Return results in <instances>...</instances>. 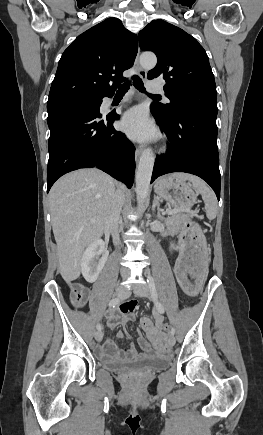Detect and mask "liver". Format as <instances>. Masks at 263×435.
<instances>
[{"label": "liver", "mask_w": 263, "mask_h": 435, "mask_svg": "<svg viewBox=\"0 0 263 435\" xmlns=\"http://www.w3.org/2000/svg\"><path fill=\"white\" fill-rule=\"evenodd\" d=\"M117 183L98 169H81L60 178L49 193L51 221L62 278L80 276L85 247L100 238Z\"/></svg>", "instance_id": "obj_1"}]
</instances>
